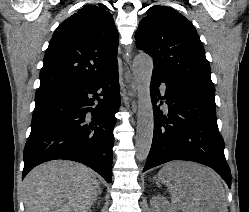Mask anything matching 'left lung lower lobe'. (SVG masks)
I'll use <instances>...</instances> for the list:
<instances>
[{
	"label": "left lung lower lobe",
	"mask_w": 249,
	"mask_h": 212,
	"mask_svg": "<svg viewBox=\"0 0 249 212\" xmlns=\"http://www.w3.org/2000/svg\"><path fill=\"white\" fill-rule=\"evenodd\" d=\"M166 85L161 96L159 86ZM154 109L152 146L143 172L172 160L194 161L214 169L231 186L218 131L215 91L179 81L154 71L150 84ZM159 100H165L157 105ZM166 103L161 110L160 105Z\"/></svg>",
	"instance_id": "left-lung-lower-lobe-1"
}]
</instances>
